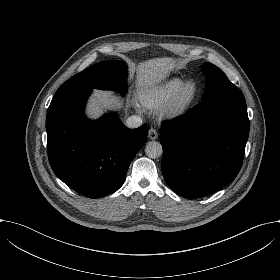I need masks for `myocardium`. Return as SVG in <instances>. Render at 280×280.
Wrapping results in <instances>:
<instances>
[{"label": "myocardium", "instance_id": "obj_1", "mask_svg": "<svg viewBox=\"0 0 280 280\" xmlns=\"http://www.w3.org/2000/svg\"><path fill=\"white\" fill-rule=\"evenodd\" d=\"M190 82H195L196 84V93L194 97H192L190 100L184 101L183 100V95L186 86ZM202 92V88L200 83L194 79V78H188L183 81L181 84L179 90L171 100V102L166 106V108L163 111V117L167 120H174L177 119L178 117L182 116L185 114L187 111H189L200 99Z\"/></svg>", "mask_w": 280, "mask_h": 280}]
</instances>
